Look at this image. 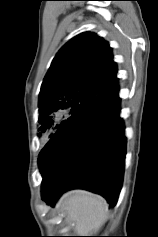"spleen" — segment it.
I'll return each mask as SVG.
<instances>
[{
  "instance_id": "spleen-1",
  "label": "spleen",
  "mask_w": 158,
  "mask_h": 237,
  "mask_svg": "<svg viewBox=\"0 0 158 237\" xmlns=\"http://www.w3.org/2000/svg\"><path fill=\"white\" fill-rule=\"evenodd\" d=\"M61 207L75 223L74 230L80 236L98 231L108 212V204L101 196L83 190L72 192L62 201Z\"/></svg>"
}]
</instances>
